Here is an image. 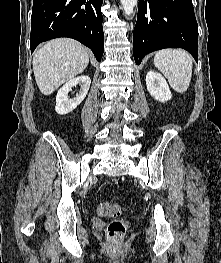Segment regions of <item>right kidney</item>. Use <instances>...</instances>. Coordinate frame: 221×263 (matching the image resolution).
Returning a JSON list of instances; mask_svg holds the SVG:
<instances>
[{"label":"right kidney","instance_id":"1","mask_svg":"<svg viewBox=\"0 0 221 263\" xmlns=\"http://www.w3.org/2000/svg\"><path fill=\"white\" fill-rule=\"evenodd\" d=\"M91 79L88 76H79L68 81L63 85L56 96L55 110L58 114L64 115L73 111L86 97L90 88ZM76 85L80 86L79 93L76 94L75 98H70L68 93Z\"/></svg>","mask_w":221,"mask_h":263}]
</instances>
